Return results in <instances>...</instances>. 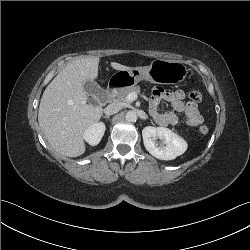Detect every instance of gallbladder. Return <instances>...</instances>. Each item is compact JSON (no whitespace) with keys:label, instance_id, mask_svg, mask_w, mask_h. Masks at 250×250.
I'll use <instances>...</instances> for the list:
<instances>
[{"label":"gallbladder","instance_id":"1","mask_svg":"<svg viewBox=\"0 0 250 250\" xmlns=\"http://www.w3.org/2000/svg\"><path fill=\"white\" fill-rule=\"evenodd\" d=\"M83 88L84 91L91 96L99 95L104 92V90L95 81L91 80L86 81ZM91 103L96 104V101L91 100Z\"/></svg>","mask_w":250,"mask_h":250}]
</instances>
